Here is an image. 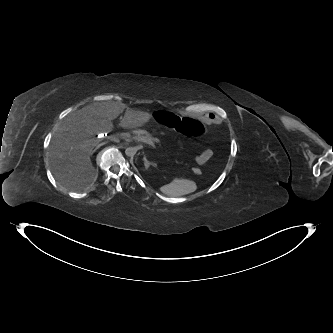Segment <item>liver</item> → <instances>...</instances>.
Returning <instances> with one entry per match:
<instances>
[{"mask_svg":"<svg viewBox=\"0 0 333 333\" xmlns=\"http://www.w3.org/2000/svg\"><path fill=\"white\" fill-rule=\"evenodd\" d=\"M125 108L121 102L94 103L64 119L53 135L48 152L54 178L59 184L78 191L88 188L96 180L97 173L90 158L98 144L95 134L111 132L113 120ZM151 118L148 112L127 108L120 126L124 129L138 128Z\"/></svg>","mask_w":333,"mask_h":333,"instance_id":"6515ba94","label":"liver"}]
</instances>
